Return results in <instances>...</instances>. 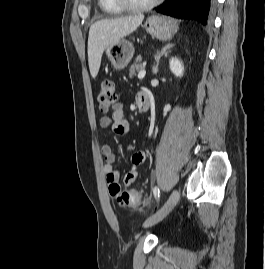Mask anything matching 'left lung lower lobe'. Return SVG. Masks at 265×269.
<instances>
[{"mask_svg":"<svg viewBox=\"0 0 265 269\" xmlns=\"http://www.w3.org/2000/svg\"><path fill=\"white\" fill-rule=\"evenodd\" d=\"M216 6V0H169L158 13L180 19L195 20L202 25L210 23Z\"/></svg>","mask_w":265,"mask_h":269,"instance_id":"0a47b994","label":"left lung lower lobe"}]
</instances>
